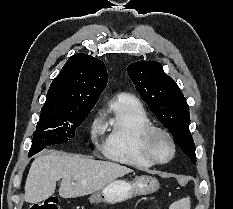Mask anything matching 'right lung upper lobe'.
I'll list each match as a JSON object with an SVG mask.
<instances>
[{
	"label": "right lung upper lobe",
	"mask_w": 233,
	"mask_h": 209,
	"mask_svg": "<svg viewBox=\"0 0 233 209\" xmlns=\"http://www.w3.org/2000/svg\"><path fill=\"white\" fill-rule=\"evenodd\" d=\"M107 81V69L101 60L75 54L51 83L41 113L57 114L75 107L94 106Z\"/></svg>",
	"instance_id": "obj_1"
}]
</instances>
